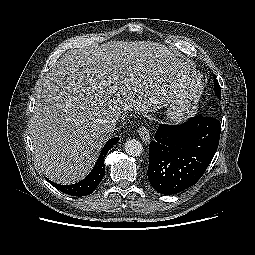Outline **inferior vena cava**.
Masks as SVG:
<instances>
[{
  "instance_id": "1",
  "label": "inferior vena cava",
  "mask_w": 255,
  "mask_h": 255,
  "mask_svg": "<svg viewBox=\"0 0 255 255\" xmlns=\"http://www.w3.org/2000/svg\"><path fill=\"white\" fill-rule=\"evenodd\" d=\"M119 118L120 117H116V118L112 119L111 125H110V129H111L112 132L115 130V125L118 122Z\"/></svg>"
}]
</instances>
